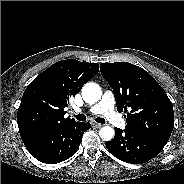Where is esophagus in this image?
I'll return each instance as SVG.
<instances>
[{"mask_svg":"<svg viewBox=\"0 0 184 184\" xmlns=\"http://www.w3.org/2000/svg\"><path fill=\"white\" fill-rule=\"evenodd\" d=\"M93 126L96 128H101L103 126V124L93 123Z\"/></svg>","mask_w":184,"mask_h":184,"instance_id":"esophagus-1","label":"esophagus"}]
</instances>
